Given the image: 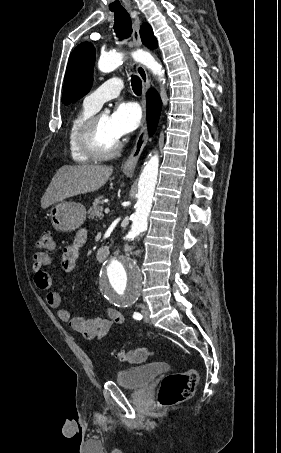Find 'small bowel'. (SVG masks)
Listing matches in <instances>:
<instances>
[{
    "mask_svg": "<svg viewBox=\"0 0 281 453\" xmlns=\"http://www.w3.org/2000/svg\"><path fill=\"white\" fill-rule=\"evenodd\" d=\"M87 236L84 228L79 229L71 244L64 246L62 251V268L64 273L71 274L75 271L76 262L81 249L86 243ZM104 245V244H101ZM52 258L45 252H37L32 257L33 280L36 286L46 292L45 298L50 307L57 309L61 321L69 323L71 328L80 333L85 339L104 338L115 324L123 322V316L117 311H111L107 318L95 316L91 319L73 316L70 310L63 308L61 296L51 289V277L49 267Z\"/></svg>",
    "mask_w": 281,
    "mask_h": 453,
    "instance_id": "obj_1",
    "label": "small bowel"
}]
</instances>
